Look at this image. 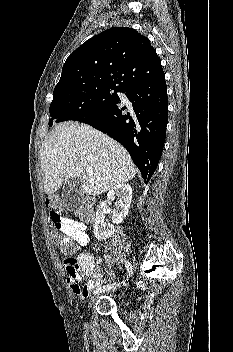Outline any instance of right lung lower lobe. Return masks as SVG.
<instances>
[{
	"mask_svg": "<svg viewBox=\"0 0 233 352\" xmlns=\"http://www.w3.org/2000/svg\"><path fill=\"white\" fill-rule=\"evenodd\" d=\"M128 109L117 101L78 121L106 133L129 152L145 183L155 172L162 154L168 122L167 86L164 74L125 89Z\"/></svg>",
	"mask_w": 233,
	"mask_h": 352,
	"instance_id": "98d812e1",
	"label": "right lung lower lobe"
}]
</instances>
